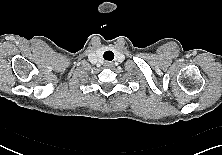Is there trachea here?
Segmentation results:
<instances>
[{"label": "trachea", "mask_w": 222, "mask_h": 155, "mask_svg": "<svg viewBox=\"0 0 222 155\" xmlns=\"http://www.w3.org/2000/svg\"><path fill=\"white\" fill-rule=\"evenodd\" d=\"M103 57L107 61H112L114 59V53L112 51H106Z\"/></svg>", "instance_id": "obj_1"}]
</instances>
